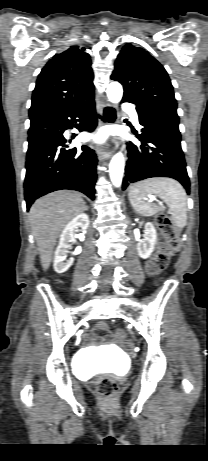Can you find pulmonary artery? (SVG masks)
Segmentation results:
<instances>
[{"label":"pulmonary artery","mask_w":208,"mask_h":461,"mask_svg":"<svg viewBox=\"0 0 208 461\" xmlns=\"http://www.w3.org/2000/svg\"><path fill=\"white\" fill-rule=\"evenodd\" d=\"M125 111H127L130 114L133 123L135 125H138L139 124L138 115H137L134 107L133 106H127V107H125Z\"/></svg>","instance_id":"obj_1"}]
</instances>
